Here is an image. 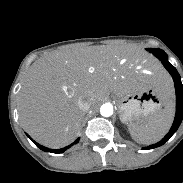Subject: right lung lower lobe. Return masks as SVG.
<instances>
[{
	"mask_svg": "<svg viewBox=\"0 0 183 183\" xmlns=\"http://www.w3.org/2000/svg\"><path fill=\"white\" fill-rule=\"evenodd\" d=\"M27 136L31 139V137H30L28 134H27ZM79 139H80V138H78L77 140H75L72 144H70V145H68V146H66V147H64V148L57 149V150L46 148V147H44V146H42V145L36 143V142L33 141L32 139H31V140H32V141L34 142V144H35L37 147H39L41 150H43V151H45V152H51V153H57V154H59V153H63L64 151H66V150H67L68 148H70L72 145L78 143V142H79Z\"/></svg>",
	"mask_w": 183,
	"mask_h": 183,
	"instance_id": "right-lung-lower-lobe-1",
	"label": "right lung lower lobe"
}]
</instances>
